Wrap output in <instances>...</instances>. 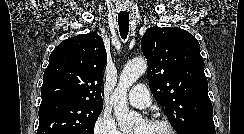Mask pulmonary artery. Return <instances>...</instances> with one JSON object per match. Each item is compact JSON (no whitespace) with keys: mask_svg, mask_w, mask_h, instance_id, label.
<instances>
[{"mask_svg":"<svg viewBox=\"0 0 244 134\" xmlns=\"http://www.w3.org/2000/svg\"><path fill=\"white\" fill-rule=\"evenodd\" d=\"M129 103L136 108H146L151 104V98L144 84L134 86L128 93Z\"/></svg>","mask_w":244,"mask_h":134,"instance_id":"obj_1","label":"pulmonary artery"}]
</instances>
